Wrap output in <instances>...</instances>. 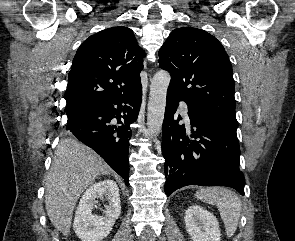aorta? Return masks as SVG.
<instances>
[{"mask_svg":"<svg viewBox=\"0 0 295 241\" xmlns=\"http://www.w3.org/2000/svg\"><path fill=\"white\" fill-rule=\"evenodd\" d=\"M170 80V74L165 70L158 71L151 80L147 110V132L150 137L158 136L161 132Z\"/></svg>","mask_w":295,"mask_h":241,"instance_id":"aorta-1","label":"aorta"}]
</instances>
